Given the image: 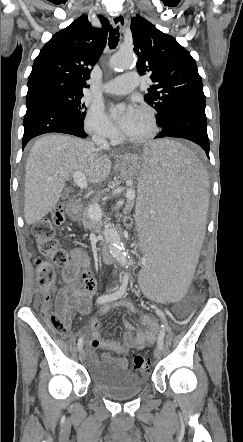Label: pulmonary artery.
<instances>
[{
	"mask_svg": "<svg viewBox=\"0 0 243 442\" xmlns=\"http://www.w3.org/2000/svg\"><path fill=\"white\" fill-rule=\"evenodd\" d=\"M140 83L136 72H127L103 85V91L106 93L122 95L134 90Z\"/></svg>",
	"mask_w": 243,
	"mask_h": 442,
	"instance_id": "1",
	"label": "pulmonary artery"
}]
</instances>
